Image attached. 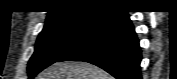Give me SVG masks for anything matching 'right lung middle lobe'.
Wrapping results in <instances>:
<instances>
[{
    "instance_id": "1",
    "label": "right lung middle lobe",
    "mask_w": 177,
    "mask_h": 79,
    "mask_svg": "<svg viewBox=\"0 0 177 79\" xmlns=\"http://www.w3.org/2000/svg\"><path fill=\"white\" fill-rule=\"evenodd\" d=\"M101 19L102 16H89L45 25L28 63L29 79L79 44Z\"/></svg>"
}]
</instances>
